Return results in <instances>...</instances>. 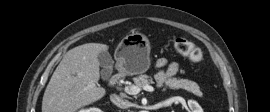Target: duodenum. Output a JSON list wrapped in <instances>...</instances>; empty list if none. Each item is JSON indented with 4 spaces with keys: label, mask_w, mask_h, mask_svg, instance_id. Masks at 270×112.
Instances as JSON below:
<instances>
[{
    "label": "duodenum",
    "mask_w": 270,
    "mask_h": 112,
    "mask_svg": "<svg viewBox=\"0 0 270 112\" xmlns=\"http://www.w3.org/2000/svg\"><path fill=\"white\" fill-rule=\"evenodd\" d=\"M118 74H112V77L110 78V82H115L117 79Z\"/></svg>",
    "instance_id": "410a0bca"
}]
</instances>
